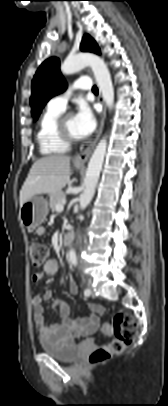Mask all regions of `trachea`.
<instances>
[{"label":"trachea","mask_w":168,"mask_h":406,"mask_svg":"<svg viewBox=\"0 0 168 406\" xmlns=\"http://www.w3.org/2000/svg\"><path fill=\"white\" fill-rule=\"evenodd\" d=\"M92 91H93L94 93H98V88L94 85L93 88H92Z\"/></svg>","instance_id":"obj_1"}]
</instances>
